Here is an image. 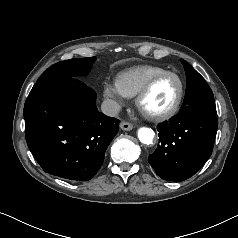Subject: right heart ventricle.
Listing matches in <instances>:
<instances>
[{
    "instance_id": "1",
    "label": "right heart ventricle",
    "mask_w": 238,
    "mask_h": 238,
    "mask_svg": "<svg viewBox=\"0 0 238 238\" xmlns=\"http://www.w3.org/2000/svg\"><path fill=\"white\" fill-rule=\"evenodd\" d=\"M164 71V68L152 65L133 67L119 73L117 83L126 97L133 98L154 75Z\"/></svg>"
}]
</instances>
